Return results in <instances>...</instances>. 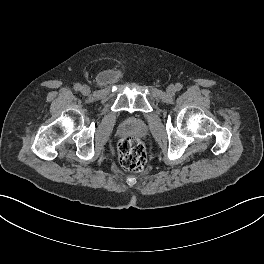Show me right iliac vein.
<instances>
[{"instance_id":"63e3f726","label":"right iliac vein","mask_w":264,"mask_h":264,"mask_svg":"<svg viewBox=\"0 0 264 264\" xmlns=\"http://www.w3.org/2000/svg\"><path fill=\"white\" fill-rule=\"evenodd\" d=\"M81 93H82L83 95H88V94L90 93V88H89L87 85H83V86L81 87Z\"/></svg>"}]
</instances>
